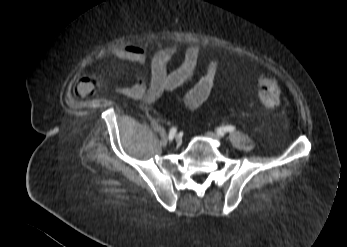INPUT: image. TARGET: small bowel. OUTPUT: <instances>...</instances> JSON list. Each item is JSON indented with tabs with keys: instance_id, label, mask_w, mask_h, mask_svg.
Listing matches in <instances>:
<instances>
[{
	"instance_id": "obj_1",
	"label": "small bowel",
	"mask_w": 347,
	"mask_h": 247,
	"mask_svg": "<svg viewBox=\"0 0 347 247\" xmlns=\"http://www.w3.org/2000/svg\"><path fill=\"white\" fill-rule=\"evenodd\" d=\"M176 52L177 45L174 43L159 48L149 63V79L146 80L142 75L137 76L131 85L119 87V93L132 100H143L153 104L165 93L172 92L190 81L198 64L200 46L189 45L180 65L169 71L167 66ZM114 55L123 62L141 66L146 63L145 50L138 45L118 47ZM218 73L219 61L212 58L208 61L205 74L184 95L175 98V103L187 110L199 108L209 98ZM101 84L100 79L84 77L77 83L76 90L78 94L84 95Z\"/></svg>"
}]
</instances>
